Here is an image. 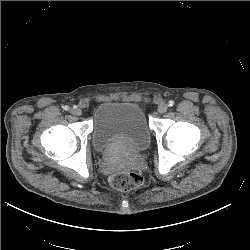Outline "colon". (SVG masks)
I'll list each match as a JSON object with an SVG mask.
<instances>
[{"instance_id": "1", "label": "colon", "mask_w": 250, "mask_h": 250, "mask_svg": "<svg viewBox=\"0 0 250 250\" xmlns=\"http://www.w3.org/2000/svg\"><path fill=\"white\" fill-rule=\"evenodd\" d=\"M108 182L111 188L126 192L141 186L143 177L134 171H122L112 174Z\"/></svg>"}]
</instances>
